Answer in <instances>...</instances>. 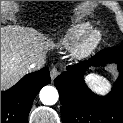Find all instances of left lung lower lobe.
Masks as SVG:
<instances>
[{
	"label": "left lung lower lobe",
	"mask_w": 123,
	"mask_h": 123,
	"mask_svg": "<svg viewBox=\"0 0 123 123\" xmlns=\"http://www.w3.org/2000/svg\"><path fill=\"white\" fill-rule=\"evenodd\" d=\"M117 63L119 77L107 96L94 94L84 82L91 67ZM59 91L63 123H123V46L107 48L92 58L68 66L54 81Z\"/></svg>",
	"instance_id": "1"
}]
</instances>
